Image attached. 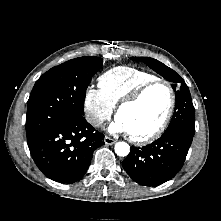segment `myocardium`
Wrapping results in <instances>:
<instances>
[{
    "instance_id": "f54148a6",
    "label": "myocardium",
    "mask_w": 221,
    "mask_h": 221,
    "mask_svg": "<svg viewBox=\"0 0 221 221\" xmlns=\"http://www.w3.org/2000/svg\"><path fill=\"white\" fill-rule=\"evenodd\" d=\"M157 84H163L169 90L170 101H169V106H168L167 112H166L161 124L153 132H151L147 135H144V136H140V137L133 136L132 134L129 133V139L133 143H136V144L150 143V142L156 140L157 138H159L161 136V134L165 131V129L167 128V126L172 118V115H173L174 109H175V105H176V94H175L174 88L169 81L164 80V79H160V78H156L154 80H151V81L146 82L143 85H141L135 91H133L128 96L123 98L116 106V118H118L119 113L122 109L137 103L151 87H153Z\"/></svg>"
}]
</instances>
